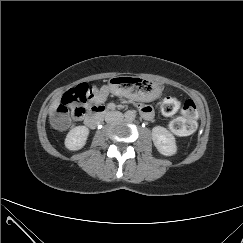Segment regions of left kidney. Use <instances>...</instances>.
<instances>
[{
    "label": "left kidney",
    "mask_w": 243,
    "mask_h": 243,
    "mask_svg": "<svg viewBox=\"0 0 243 243\" xmlns=\"http://www.w3.org/2000/svg\"><path fill=\"white\" fill-rule=\"evenodd\" d=\"M152 140L159 151L164 156H172L177 152L175 137L162 126H155L152 129Z\"/></svg>",
    "instance_id": "1"
}]
</instances>
